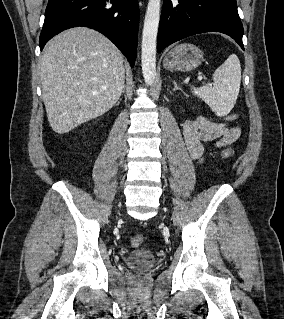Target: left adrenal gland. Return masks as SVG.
Listing matches in <instances>:
<instances>
[{
    "instance_id": "1",
    "label": "left adrenal gland",
    "mask_w": 284,
    "mask_h": 319,
    "mask_svg": "<svg viewBox=\"0 0 284 319\" xmlns=\"http://www.w3.org/2000/svg\"><path fill=\"white\" fill-rule=\"evenodd\" d=\"M173 84H174V89H173V91L180 89V88L178 87V85H177V83H176L175 80L173 81ZM180 90H181V89H180Z\"/></svg>"
}]
</instances>
